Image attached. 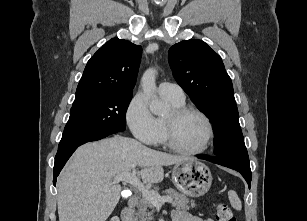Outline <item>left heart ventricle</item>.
I'll return each mask as SVG.
<instances>
[{"mask_svg":"<svg viewBox=\"0 0 307 221\" xmlns=\"http://www.w3.org/2000/svg\"><path fill=\"white\" fill-rule=\"evenodd\" d=\"M166 118H171V112ZM206 136V124L196 114H187L174 123V141L183 149L195 150L201 148L205 143Z\"/></svg>","mask_w":307,"mask_h":221,"instance_id":"left-heart-ventricle-1","label":"left heart ventricle"}]
</instances>
